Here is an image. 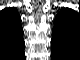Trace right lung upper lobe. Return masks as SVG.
Returning <instances> with one entry per match:
<instances>
[{
    "mask_svg": "<svg viewBox=\"0 0 80 60\" xmlns=\"http://www.w3.org/2000/svg\"><path fill=\"white\" fill-rule=\"evenodd\" d=\"M23 44L20 15L15 8H6L0 14V51H18Z\"/></svg>",
    "mask_w": 80,
    "mask_h": 60,
    "instance_id": "obj_1",
    "label": "right lung upper lobe"
}]
</instances>
